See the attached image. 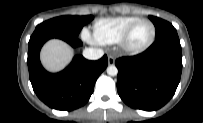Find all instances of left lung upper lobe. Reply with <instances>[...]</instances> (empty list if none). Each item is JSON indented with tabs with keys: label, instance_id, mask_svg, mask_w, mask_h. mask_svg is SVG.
I'll use <instances>...</instances> for the list:
<instances>
[{
	"label": "left lung upper lobe",
	"instance_id": "obj_1",
	"mask_svg": "<svg viewBox=\"0 0 203 123\" xmlns=\"http://www.w3.org/2000/svg\"><path fill=\"white\" fill-rule=\"evenodd\" d=\"M156 28V39L169 33H177L176 29L169 22L160 18L149 16Z\"/></svg>",
	"mask_w": 203,
	"mask_h": 123
}]
</instances>
